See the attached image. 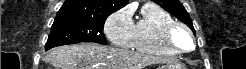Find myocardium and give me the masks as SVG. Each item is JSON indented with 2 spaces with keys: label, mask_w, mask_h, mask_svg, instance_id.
<instances>
[{
  "label": "myocardium",
  "mask_w": 246,
  "mask_h": 69,
  "mask_svg": "<svg viewBox=\"0 0 246 69\" xmlns=\"http://www.w3.org/2000/svg\"><path fill=\"white\" fill-rule=\"evenodd\" d=\"M176 30H182L184 31L188 37H189V44L186 47L187 49H192L194 46V40H193V35L191 33V31L187 28V26H185L182 23L179 22H173V23H169L168 25L165 26V28L163 29L162 32V36L164 39V42L171 47L172 49H174L175 52L177 53H185L187 50H185L184 48H181V46H179L174 38H173V34Z\"/></svg>",
  "instance_id": "1"
}]
</instances>
